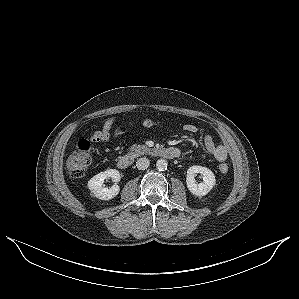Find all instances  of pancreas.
<instances>
[{"label": "pancreas", "mask_w": 299, "mask_h": 299, "mask_svg": "<svg viewBox=\"0 0 299 299\" xmlns=\"http://www.w3.org/2000/svg\"><path fill=\"white\" fill-rule=\"evenodd\" d=\"M152 149L145 145L134 144L130 147V154L134 157L151 153Z\"/></svg>", "instance_id": "1"}]
</instances>
